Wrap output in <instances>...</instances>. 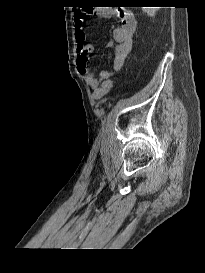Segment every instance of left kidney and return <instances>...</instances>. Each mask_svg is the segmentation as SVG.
Masks as SVG:
<instances>
[{
	"label": "left kidney",
	"instance_id": "5707ae66",
	"mask_svg": "<svg viewBox=\"0 0 205 273\" xmlns=\"http://www.w3.org/2000/svg\"><path fill=\"white\" fill-rule=\"evenodd\" d=\"M157 8H155V7H144L143 8V11L145 12V13H147V15L148 16H151V17H153V16H155V13H156V10Z\"/></svg>",
	"mask_w": 205,
	"mask_h": 273
}]
</instances>
